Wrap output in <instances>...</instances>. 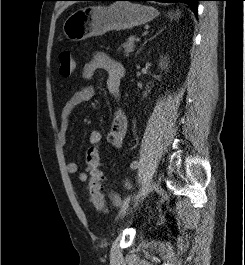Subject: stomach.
<instances>
[{"label":"stomach","instance_id":"stomach-1","mask_svg":"<svg viewBox=\"0 0 245 265\" xmlns=\"http://www.w3.org/2000/svg\"><path fill=\"white\" fill-rule=\"evenodd\" d=\"M157 15L155 8L131 2L87 6L68 16L63 24V32L69 40L81 41L112 30L132 29Z\"/></svg>","mask_w":245,"mask_h":265}]
</instances>
